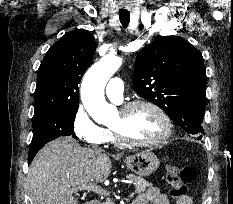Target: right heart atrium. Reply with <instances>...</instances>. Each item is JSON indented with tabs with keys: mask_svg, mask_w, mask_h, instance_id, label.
Wrapping results in <instances>:
<instances>
[{
	"mask_svg": "<svg viewBox=\"0 0 233 204\" xmlns=\"http://www.w3.org/2000/svg\"><path fill=\"white\" fill-rule=\"evenodd\" d=\"M72 129L75 136L85 144L95 146L107 142L106 130L95 123L81 104L73 115Z\"/></svg>",
	"mask_w": 233,
	"mask_h": 204,
	"instance_id": "right-heart-atrium-1",
	"label": "right heart atrium"
}]
</instances>
